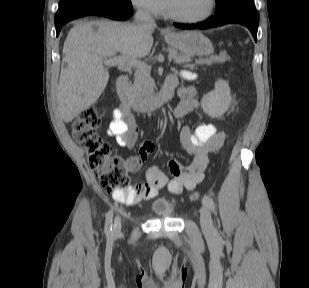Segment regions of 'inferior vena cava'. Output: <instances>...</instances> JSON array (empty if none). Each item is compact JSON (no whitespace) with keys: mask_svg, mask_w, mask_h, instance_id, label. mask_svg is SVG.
I'll return each instance as SVG.
<instances>
[{"mask_svg":"<svg viewBox=\"0 0 309 288\" xmlns=\"http://www.w3.org/2000/svg\"><path fill=\"white\" fill-rule=\"evenodd\" d=\"M135 24L140 27L156 26L155 20L152 18V16L142 9H138L135 14Z\"/></svg>","mask_w":309,"mask_h":288,"instance_id":"1","label":"inferior vena cava"}]
</instances>
